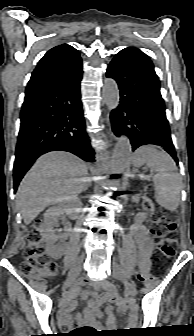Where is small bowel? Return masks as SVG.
I'll list each match as a JSON object with an SVG mask.
<instances>
[{"label": "small bowel", "mask_w": 194, "mask_h": 336, "mask_svg": "<svg viewBox=\"0 0 194 336\" xmlns=\"http://www.w3.org/2000/svg\"><path fill=\"white\" fill-rule=\"evenodd\" d=\"M132 233L138 246V255L136 257L137 265L141 272L146 273L149 271L151 266L150 255L153 248L151 239L145 226L140 223H135L132 226ZM100 287L104 290V293L100 295H96L92 291H84L81 294L84 299L88 298L89 296H94V298L89 301L88 307L84 311L83 316L79 315L75 319H72L70 317L69 310L74 308L76 305L75 295L78 291L76 290L74 293L69 295L63 301V310L60 315L61 322L66 326H69L74 322L82 324L83 321L92 324L94 323V316L97 306L107 302H118L119 300H121L113 284L104 282L101 284ZM106 313L108 314L109 320L111 322H114L116 320L115 316L113 315V308L111 306H108L106 308Z\"/></svg>", "instance_id": "obj_1"}]
</instances>
